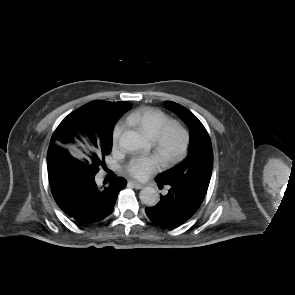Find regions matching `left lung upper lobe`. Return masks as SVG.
I'll list each match as a JSON object with an SVG mask.
<instances>
[{"instance_id": "1", "label": "left lung upper lobe", "mask_w": 295, "mask_h": 295, "mask_svg": "<svg viewBox=\"0 0 295 295\" xmlns=\"http://www.w3.org/2000/svg\"><path fill=\"white\" fill-rule=\"evenodd\" d=\"M165 106L188 124L190 142L186 158L157 175L156 179L164 184L175 182L194 189L205 188L206 191L213 168L210 137L203 124L188 109L171 101H166Z\"/></svg>"}]
</instances>
